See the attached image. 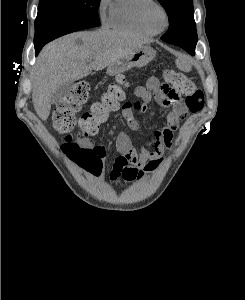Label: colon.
Listing matches in <instances>:
<instances>
[{"label": "colon", "mask_w": 245, "mask_h": 300, "mask_svg": "<svg viewBox=\"0 0 245 300\" xmlns=\"http://www.w3.org/2000/svg\"><path fill=\"white\" fill-rule=\"evenodd\" d=\"M164 78L174 91L185 96V104L191 113L202 110L204 93L190 78L174 70H166ZM125 85L126 81L121 77L117 82L108 86L100 100L92 105L91 110L79 118L80 132L77 134L72 133L77 123L76 114L90 96V85L87 82H77L71 94L58 103L54 112V129L64 135L62 151L79 165L95 174L100 170L96 152L91 148L83 147L80 141L94 136L100 125L118 109L119 102L124 98ZM134 106L140 108L141 104L136 101Z\"/></svg>", "instance_id": "5ec220e1"}]
</instances>
